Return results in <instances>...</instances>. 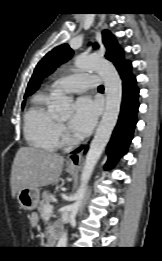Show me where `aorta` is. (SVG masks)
Listing matches in <instances>:
<instances>
[{
	"mask_svg": "<svg viewBox=\"0 0 162 261\" xmlns=\"http://www.w3.org/2000/svg\"><path fill=\"white\" fill-rule=\"evenodd\" d=\"M74 65L79 71L94 70L100 74L105 86L106 107L84 161L81 183L75 194V202L70 206V223L75 221L88 181L117 123L122 101V82L117 70L109 61L93 55L77 56ZM71 102L70 97L60 96L53 103V108L59 113H66L70 110ZM66 246L67 232H64L57 243V247L65 248Z\"/></svg>",
	"mask_w": 162,
	"mask_h": 261,
	"instance_id": "1",
	"label": "aorta"
}]
</instances>
